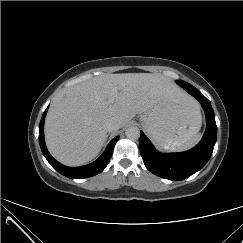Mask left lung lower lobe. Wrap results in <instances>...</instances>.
Here are the masks:
<instances>
[{"label":"left lung lower lobe","mask_w":243,"mask_h":243,"mask_svg":"<svg viewBox=\"0 0 243 243\" xmlns=\"http://www.w3.org/2000/svg\"><path fill=\"white\" fill-rule=\"evenodd\" d=\"M202 105L206 116V131L200 143L193 149L172 154L157 152L141 131L140 153L146 168L153 174L172 181L183 180L199 171L209 160L216 143L217 126L210 101L187 82L178 83Z\"/></svg>","instance_id":"0a47b994"}]
</instances>
